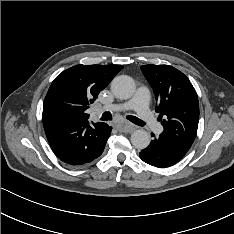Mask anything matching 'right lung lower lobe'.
<instances>
[{
	"mask_svg": "<svg viewBox=\"0 0 234 234\" xmlns=\"http://www.w3.org/2000/svg\"><path fill=\"white\" fill-rule=\"evenodd\" d=\"M112 127L88 120L72 121L45 128L55 155L70 165H82L98 158L105 148Z\"/></svg>",
	"mask_w": 234,
	"mask_h": 234,
	"instance_id": "obj_1",
	"label": "right lung lower lobe"
}]
</instances>
